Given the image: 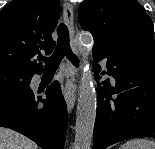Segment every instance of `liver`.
Here are the masks:
<instances>
[{"label":"liver","instance_id":"obj_1","mask_svg":"<svg viewBox=\"0 0 155 149\" xmlns=\"http://www.w3.org/2000/svg\"><path fill=\"white\" fill-rule=\"evenodd\" d=\"M0 149H38V146L13 130L0 127Z\"/></svg>","mask_w":155,"mask_h":149}]
</instances>
